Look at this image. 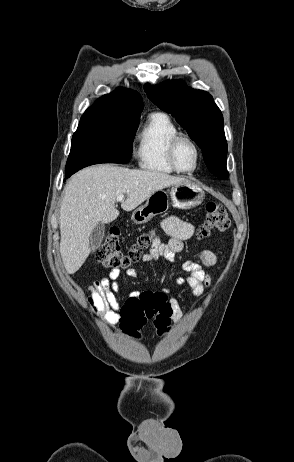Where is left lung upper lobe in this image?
Wrapping results in <instances>:
<instances>
[{
	"label": "left lung upper lobe",
	"instance_id": "obj_1",
	"mask_svg": "<svg viewBox=\"0 0 294 462\" xmlns=\"http://www.w3.org/2000/svg\"><path fill=\"white\" fill-rule=\"evenodd\" d=\"M144 89L154 104L176 117V121L202 149L209 171L220 179L228 178L223 116L212 96L189 88L181 81H166L160 86L146 84Z\"/></svg>",
	"mask_w": 294,
	"mask_h": 462
}]
</instances>
